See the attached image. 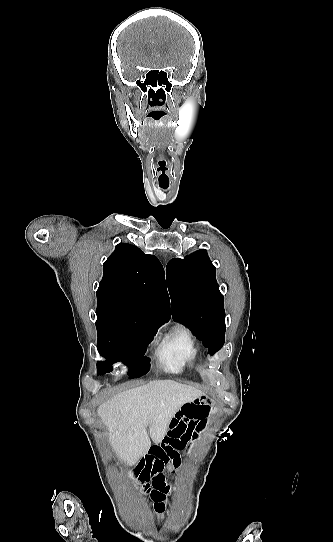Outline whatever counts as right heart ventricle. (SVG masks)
I'll list each match as a JSON object with an SVG mask.
<instances>
[{
	"mask_svg": "<svg viewBox=\"0 0 333 542\" xmlns=\"http://www.w3.org/2000/svg\"><path fill=\"white\" fill-rule=\"evenodd\" d=\"M158 354L165 366L173 372H181L187 365L197 363L194 340L184 328L168 334L162 341Z\"/></svg>",
	"mask_w": 333,
	"mask_h": 542,
	"instance_id": "1",
	"label": "right heart ventricle"
}]
</instances>
